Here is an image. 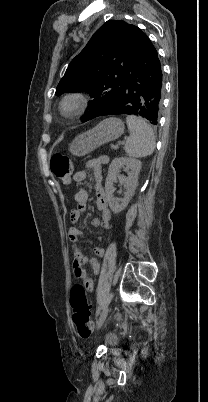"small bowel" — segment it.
Masks as SVG:
<instances>
[{"label":"small bowel","instance_id":"obj_1","mask_svg":"<svg viewBox=\"0 0 208 402\" xmlns=\"http://www.w3.org/2000/svg\"><path fill=\"white\" fill-rule=\"evenodd\" d=\"M107 162V157L91 158L87 160L84 166L79 168L73 175V179L75 182L82 183L87 180L88 171H93L94 188L97 194L96 204L98 210L100 211L101 217L93 219L91 221V225L95 228L102 227L106 230L110 229L111 227L112 215L106 203L101 167ZM74 199L77 204V208L71 212L70 220L73 223H76L78 222L81 214L84 213L87 209L88 191L86 189L77 190L75 192ZM83 237L84 233L80 228L72 227L69 230V240L72 243H77ZM94 252L98 257H102L104 255V249L101 247L95 248ZM87 262L90 263L92 272L94 274H97L100 271V263L96 258L89 259L83 254L80 249L75 248L73 250L74 273L77 277L83 279L89 289H92L94 280L84 268V264H86Z\"/></svg>","mask_w":208,"mask_h":402}]
</instances>
